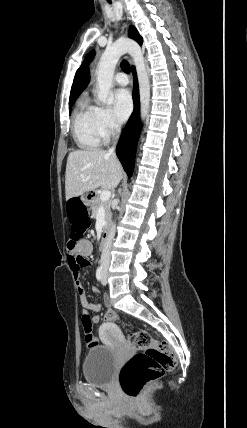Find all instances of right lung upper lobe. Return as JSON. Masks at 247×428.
Listing matches in <instances>:
<instances>
[{"label":"right lung upper lobe","mask_w":247,"mask_h":428,"mask_svg":"<svg viewBox=\"0 0 247 428\" xmlns=\"http://www.w3.org/2000/svg\"><path fill=\"white\" fill-rule=\"evenodd\" d=\"M129 37L137 41L140 45L143 42L142 37L139 35L137 29L134 26L129 27ZM89 79H90V75H89L88 68L84 69L83 67H81L76 73V76L71 88L69 104H74L75 100L78 98L80 93L88 85Z\"/></svg>","instance_id":"cb5924a9"}]
</instances>
